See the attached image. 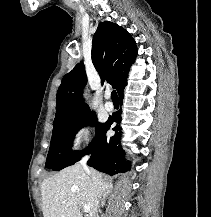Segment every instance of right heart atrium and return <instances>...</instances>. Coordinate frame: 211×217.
<instances>
[{
	"mask_svg": "<svg viewBox=\"0 0 211 217\" xmlns=\"http://www.w3.org/2000/svg\"><path fill=\"white\" fill-rule=\"evenodd\" d=\"M91 141V129L89 125L80 126L72 136V147L78 148L81 145H87Z\"/></svg>",
	"mask_w": 211,
	"mask_h": 217,
	"instance_id": "d8ad5b80",
	"label": "right heart atrium"
}]
</instances>
